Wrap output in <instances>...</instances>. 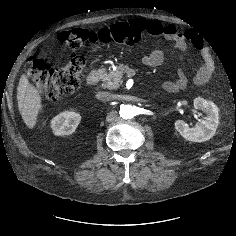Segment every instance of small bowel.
Instances as JSON below:
<instances>
[{
    "mask_svg": "<svg viewBox=\"0 0 236 236\" xmlns=\"http://www.w3.org/2000/svg\"><path fill=\"white\" fill-rule=\"evenodd\" d=\"M146 31L157 38H163L167 41H172L178 49L187 48L191 43L200 54L202 64L193 77L192 82L195 85L201 86L206 84L215 73V65L210 52L203 46L201 40L196 35L188 36L186 33L178 29L175 25H163L159 21L150 20L145 22ZM164 52L161 49L152 51L150 54L143 57L144 64L156 67L163 62ZM189 84L187 75L180 71L175 81H166L164 89L168 92H177L185 89Z\"/></svg>",
    "mask_w": 236,
    "mask_h": 236,
    "instance_id": "obj_1",
    "label": "small bowel"
}]
</instances>
